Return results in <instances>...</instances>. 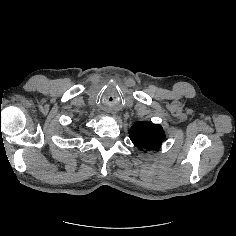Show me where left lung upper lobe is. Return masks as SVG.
I'll return each mask as SVG.
<instances>
[{"label":"left lung upper lobe","mask_w":236,"mask_h":236,"mask_svg":"<svg viewBox=\"0 0 236 236\" xmlns=\"http://www.w3.org/2000/svg\"><path fill=\"white\" fill-rule=\"evenodd\" d=\"M131 141L140 150H157L165 139V133L160 125L149 122H137L129 130Z\"/></svg>","instance_id":"left-lung-upper-lobe-1"}]
</instances>
